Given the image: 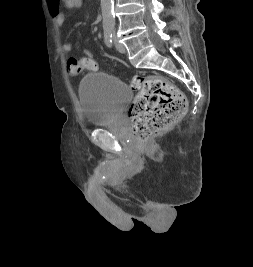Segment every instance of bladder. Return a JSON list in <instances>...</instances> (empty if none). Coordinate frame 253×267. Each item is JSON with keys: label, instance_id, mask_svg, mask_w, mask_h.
Segmentation results:
<instances>
[{"label": "bladder", "instance_id": "31cf9c89", "mask_svg": "<svg viewBox=\"0 0 253 267\" xmlns=\"http://www.w3.org/2000/svg\"><path fill=\"white\" fill-rule=\"evenodd\" d=\"M132 96L126 83L105 73H88L79 85L81 108L91 127L113 123Z\"/></svg>", "mask_w": 253, "mask_h": 267}]
</instances>
